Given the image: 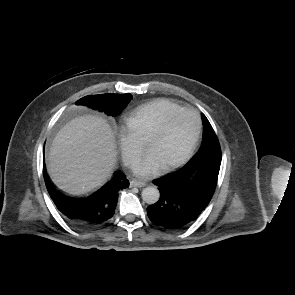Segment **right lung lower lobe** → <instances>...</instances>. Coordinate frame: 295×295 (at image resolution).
Here are the masks:
<instances>
[{
	"instance_id": "98d812e1",
	"label": "right lung lower lobe",
	"mask_w": 295,
	"mask_h": 295,
	"mask_svg": "<svg viewBox=\"0 0 295 295\" xmlns=\"http://www.w3.org/2000/svg\"><path fill=\"white\" fill-rule=\"evenodd\" d=\"M44 180L51 199L64 218L81 229L97 227L111 218L115 212L118 191L129 187L125 175L118 172L101 191L85 199L62 195L51 185L44 165Z\"/></svg>"
}]
</instances>
